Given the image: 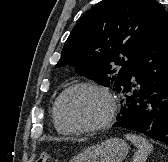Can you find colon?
<instances>
[{
	"label": "colon",
	"instance_id": "1",
	"mask_svg": "<svg viewBox=\"0 0 168 162\" xmlns=\"http://www.w3.org/2000/svg\"><path fill=\"white\" fill-rule=\"evenodd\" d=\"M50 159V154L48 153H42L38 159L36 160V162H48Z\"/></svg>",
	"mask_w": 168,
	"mask_h": 162
}]
</instances>
